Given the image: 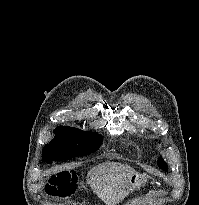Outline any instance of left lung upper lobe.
<instances>
[{
	"label": "left lung upper lobe",
	"mask_w": 199,
	"mask_h": 205,
	"mask_svg": "<svg viewBox=\"0 0 199 205\" xmlns=\"http://www.w3.org/2000/svg\"><path fill=\"white\" fill-rule=\"evenodd\" d=\"M158 166L164 170V171H168V167L167 164L165 163V161L162 159V157H159L158 161H157Z\"/></svg>",
	"instance_id": "obj_1"
}]
</instances>
